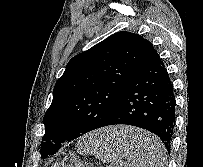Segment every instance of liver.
I'll use <instances>...</instances> for the list:
<instances>
[{"instance_id":"6515ba94","label":"liver","mask_w":203,"mask_h":167,"mask_svg":"<svg viewBox=\"0 0 203 167\" xmlns=\"http://www.w3.org/2000/svg\"><path fill=\"white\" fill-rule=\"evenodd\" d=\"M102 131H105V129ZM106 135L109 138L117 139L130 145L132 149H128V151L133 156H137L138 153L136 150L142 149L145 142L152 137L151 134L142 129L127 126L112 127L107 131Z\"/></svg>"}]
</instances>
